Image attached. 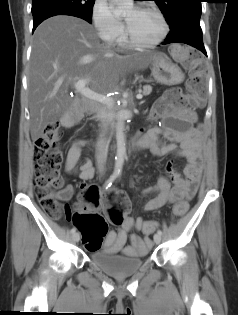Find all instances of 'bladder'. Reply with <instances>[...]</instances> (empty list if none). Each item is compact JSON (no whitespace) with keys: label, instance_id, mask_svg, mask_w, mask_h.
Instances as JSON below:
<instances>
[{"label":"bladder","instance_id":"1","mask_svg":"<svg viewBox=\"0 0 238 315\" xmlns=\"http://www.w3.org/2000/svg\"><path fill=\"white\" fill-rule=\"evenodd\" d=\"M90 261L105 273L123 277L136 273L143 265L144 258H133L126 255H115L105 251L93 250Z\"/></svg>","mask_w":238,"mask_h":315}]
</instances>
